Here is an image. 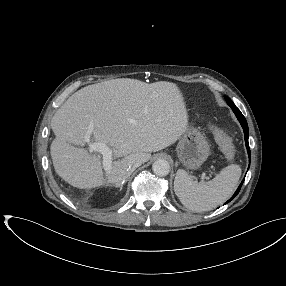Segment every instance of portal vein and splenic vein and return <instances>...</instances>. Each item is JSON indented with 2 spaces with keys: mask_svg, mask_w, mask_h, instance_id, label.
<instances>
[{
  "mask_svg": "<svg viewBox=\"0 0 286 286\" xmlns=\"http://www.w3.org/2000/svg\"><path fill=\"white\" fill-rule=\"evenodd\" d=\"M89 151L100 153L103 157V167L106 172L111 170L112 166V150L111 148L103 142H90L88 141Z\"/></svg>",
  "mask_w": 286,
  "mask_h": 286,
  "instance_id": "1",
  "label": "portal vein and splenic vein"
}]
</instances>
